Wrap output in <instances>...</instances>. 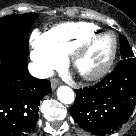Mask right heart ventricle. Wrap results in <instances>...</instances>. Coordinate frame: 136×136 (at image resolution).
Segmentation results:
<instances>
[{
  "instance_id": "e07e8e85",
  "label": "right heart ventricle",
  "mask_w": 136,
  "mask_h": 136,
  "mask_svg": "<svg viewBox=\"0 0 136 136\" xmlns=\"http://www.w3.org/2000/svg\"><path fill=\"white\" fill-rule=\"evenodd\" d=\"M101 28L89 22H67L45 32L44 38L49 46L62 56L70 55L89 35Z\"/></svg>"
}]
</instances>
